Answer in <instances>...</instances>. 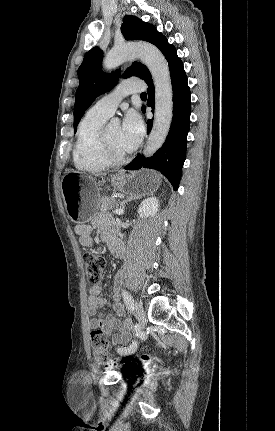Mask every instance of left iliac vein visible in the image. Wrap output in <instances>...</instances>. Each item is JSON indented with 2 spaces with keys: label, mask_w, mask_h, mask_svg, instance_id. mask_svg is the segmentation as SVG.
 I'll list each match as a JSON object with an SVG mask.
<instances>
[{
  "label": "left iliac vein",
  "mask_w": 275,
  "mask_h": 431,
  "mask_svg": "<svg viewBox=\"0 0 275 431\" xmlns=\"http://www.w3.org/2000/svg\"><path fill=\"white\" fill-rule=\"evenodd\" d=\"M133 310H134V315L139 323V327L144 328V325L146 322V314L141 303L135 302Z\"/></svg>",
  "instance_id": "obj_1"
}]
</instances>
